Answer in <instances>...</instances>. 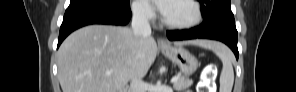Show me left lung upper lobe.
<instances>
[{"instance_id":"1","label":"left lung upper lobe","mask_w":296,"mask_h":92,"mask_svg":"<svg viewBox=\"0 0 296 92\" xmlns=\"http://www.w3.org/2000/svg\"><path fill=\"white\" fill-rule=\"evenodd\" d=\"M204 17L200 27L210 29L222 21H234L230 0H198Z\"/></svg>"}]
</instances>
